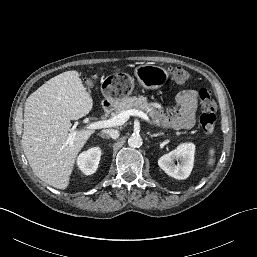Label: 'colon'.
Here are the masks:
<instances>
[{
  "instance_id": "5ec220e1",
  "label": "colon",
  "mask_w": 257,
  "mask_h": 257,
  "mask_svg": "<svg viewBox=\"0 0 257 257\" xmlns=\"http://www.w3.org/2000/svg\"><path fill=\"white\" fill-rule=\"evenodd\" d=\"M168 73L170 78L180 85L188 83L191 79V74L181 67H172ZM87 83L91 85L92 81L89 80ZM199 97L201 100V115L199 118L201 129L206 134H212L217 121L215 103L206 88L199 91Z\"/></svg>"
}]
</instances>
